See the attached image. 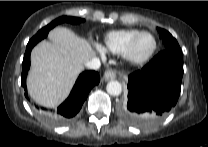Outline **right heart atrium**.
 Listing matches in <instances>:
<instances>
[{
    "mask_svg": "<svg viewBox=\"0 0 208 147\" xmlns=\"http://www.w3.org/2000/svg\"><path fill=\"white\" fill-rule=\"evenodd\" d=\"M94 44L100 53H104V48L102 47V45H100L99 43H96V42Z\"/></svg>",
    "mask_w": 208,
    "mask_h": 147,
    "instance_id": "d8ad5b80",
    "label": "right heart atrium"
}]
</instances>
